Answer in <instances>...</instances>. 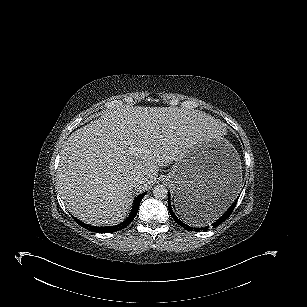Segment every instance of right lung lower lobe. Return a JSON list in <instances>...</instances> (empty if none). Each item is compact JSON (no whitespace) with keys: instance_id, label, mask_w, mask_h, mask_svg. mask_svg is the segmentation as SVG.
<instances>
[{"instance_id":"right-lung-lower-lobe-1","label":"right lung lower lobe","mask_w":307,"mask_h":307,"mask_svg":"<svg viewBox=\"0 0 307 307\" xmlns=\"http://www.w3.org/2000/svg\"><path fill=\"white\" fill-rule=\"evenodd\" d=\"M145 194H146V192L135 198L134 205H133L132 212H131L130 216L128 217V219H126L124 222H122L119 225L109 226V227L108 226L107 227H95V226L87 225V224L77 220L75 217H73V216L72 217L80 226H82L83 228H86L87 230L97 232V233L116 232V231H119V230L127 227L132 222V220L134 219V217L137 214L140 202L143 199V197L145 196Z\"/></svg>"}]
</instances>
